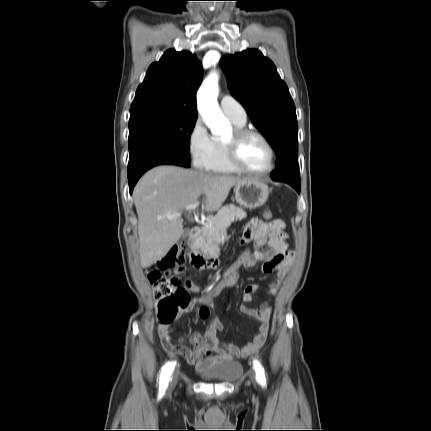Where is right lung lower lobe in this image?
I'll list each match as a JSON object with an SVG mask.
<instances>
[{
	"mask_svg": "<svg viewBox=\"0 0 431 431\" xmlns=\"http://www.w3.org/2000/svg\"><path fill=\"white\" fill-rule=\"evenodd\" d=\"M161 164L189 167L190 161L171 149L162 146L156 145L144 148L140 152L130 156L128 165L130 193H132L135 184L144 172Z\"/></svg>",
	"mask_w": 431,
	"mask_h": 431,
	"instance_id": "right-lung-lower-lobe-1",
	"label": "right lung lower lobe"
}]
</instances>
